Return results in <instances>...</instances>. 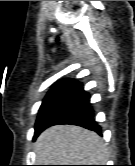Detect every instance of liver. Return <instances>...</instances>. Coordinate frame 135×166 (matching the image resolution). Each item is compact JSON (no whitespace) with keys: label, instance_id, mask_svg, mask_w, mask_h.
I'll return each mask as SVG.
<instances>
[{"label":"liver","instance_id":"1","mask_svg":"<svg viewBox=\"0 0 135 166\" xmlns=\"http://www.w3.org/2000/svg\"><path fill=\"white\" fill-rule=\"evenodd\" d=\"M39 165H104L108 151L95 132L74 125L52 126L34 145Z\"/></svg>","mask_w":135,"mask_h":166}]
</instances>
